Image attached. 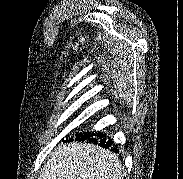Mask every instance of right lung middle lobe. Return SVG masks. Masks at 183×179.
<instances>
[{"label": "right lung middle lobe", "instance_id": "obj_1", "mask_svg": "<svg viewBox=\"0 0 183 179\" xmlns=\"http://www.w3.org/2000/svg\"><path fill=\"white\" fill-rule=\"evenodd\" d=\"M81 135H83V133L76 134V136H81Z\"/></svg>", "mask_w": 183, "mask_h": 179}]
</instances>
